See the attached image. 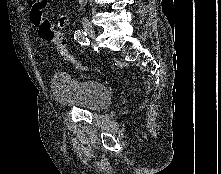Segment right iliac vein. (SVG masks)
<instances>
[{
  "mask_svg": "<svg viewBox=\"0 0 221 174\" xmlns=\"http://www.w3.org/2000/svg\"><path fill=\"white\" fill-rule=\"evenodd\" d=\"M83 28H84V31L86 32V34H87L91 39H95V31H94V28H93L92 24H91L87 19H84V20H83Z\"/></svg>",
  "mask_w": 221,
  "mask_h": 174,
  "instance_id": "obj_1",
  "label": "right iliac vein"
}]
</instances>
